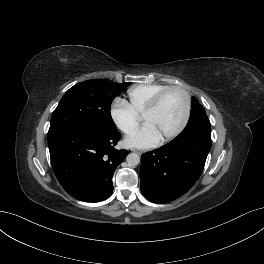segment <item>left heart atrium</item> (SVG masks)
Segmentation results:
<instances>
[{
	"instance_id": "left-heart-atrium-1",
	"label": "left heart atrium",
	"mask_w": 264,
	"mask_h": 264,
	"mask_svg": "<svg viewBox=\"0 0 264 264\" xmlns=\"http://www.w3.org/2000/svg\"><path fill=\"white\" fill-rule=\"evenodd\" d=\"M162 137L153 125L145 123L139 130L128 136L124 143L132 148H151L156 146Z\"/></svg>"
}]
</instances>
